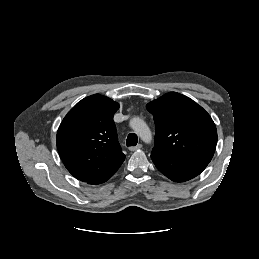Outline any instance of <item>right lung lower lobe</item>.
<instances>
[{
    "mask_svg": "<svg viewBox=\"0 0 259 259\" xmlns=\"http://www.w3.org/2000/svg\"><path fill=\"white\" fill-rule=\"evenodd\" d=\"M112 175H113V174H112ZM112 175L108 176V177L105 178V179H102V180H100V181H97V182H94V183H91V184H101V183L107 181Z\"/></svg>",
    "mask_w": 259,
    "mask_h": 259,
    "instance_id": "98d812e1",
    "label": "right lung lower lobe"
}]
</instances>
